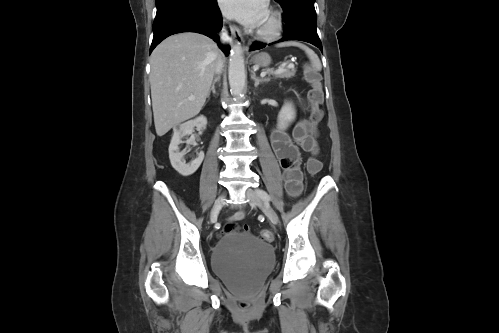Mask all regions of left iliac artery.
<instances>
[{
	"label": "left iliac artery",
	"instance_id": "1",
	"mask_svg": "<svg viewBox=\"0 0 499 333\" xmlns=\"http://www.w3.org/2000/svg\"><path fill=\"white\" fill-rule=\"evenodd\" d=\"M256 192L264 201H270V196L266 191L262 189H257Z\"/></svg>",
	"mask_w": 499,
	"mask_h": 333
}]
</instances>
